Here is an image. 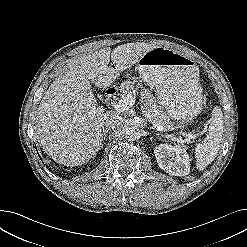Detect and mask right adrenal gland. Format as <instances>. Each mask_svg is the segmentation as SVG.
I'll list each match as a JSON object with an SVG mask.
<instances>
[{
  "label": "right adrenal gland",
  "instance_id": "2a0ac1e0",
  "mask_svg": "<svg viewBox=\"0 0 247 247\" xmlns=\"http://www.w3.org/2000/svg\"><path fill=\"white\" fill-rule=\"evenodd\" d=\"M111 131V129L110 128H107V129H105L104 131H103V139L105 140V137L107 136V133L108 132H110ZM101 147H103V144H102V146Z\"/></svg>",
  "mask_w": 247,
  "mask_h": 247
}]
</instances>
